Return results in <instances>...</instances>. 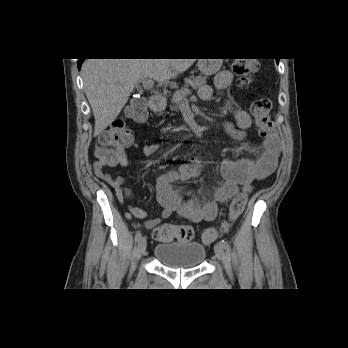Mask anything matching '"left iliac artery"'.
Wrapping results in <instances>:
<instances>
[{
	"label": "left iliac artery",
	"mask_w": 348,
	"mask_h": 348,
	"mask_svg": "<svg viewBox=\"0 0 348 348\" xmlns=\"http://www.w3.org/2000/svg\"><path fill=\"white\" fill-rule=\"evenodd\" d=\"M220 244L222 245V247H223L224 249H228V248H229L227 241H225L224 239H222V240L220 241Z\"/></svg>",
	"instance_id": "44dca946"
}]
</instances>
